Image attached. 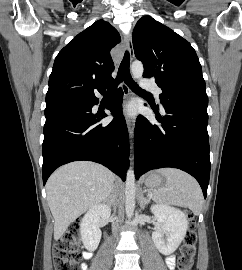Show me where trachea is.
<instances>
[{
  "label": "trachea",
  "instance_id": "trachea-1",
  "mask_svg": "<svg viewBox=\"0 0 242 270\" xmlns=\"http://www.w3.org/2000/svg\"><path fill=\"white\" fill-rule=\"evenodd\" d=\"M130 65V54L128 51L125 52L124 58L119 66L118 75L115 81L108 87L107 92H114L118 84L123 81L135 92L148 93L145 90H142L132 79L129 71Z\"/></svg>",
  "mask_w": 242,
  "mask_h": 270
}]
</instances>
